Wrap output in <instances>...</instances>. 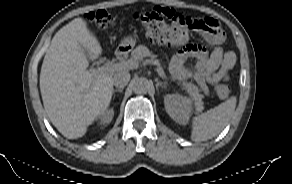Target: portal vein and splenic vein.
Masks as SVG:
<instances>
[{
  "label": "portal vein and splenic vein",
  "mask_w": 292,
  "mask_h": 184,
  "mask_svg": "<svg viewBox=\"0 0 292 184\" xmlns=\"http://www.w3.org/2000/svg\"><path fill=\"white\" fill-rule=\"evenodd\" d=\"M154 64L157 66V72L160 75V77H164L165 73L158 61H154ZM136 66L135 61L132 59H129L127 61H121L118 63H105L103 66L98 68V72H104V71H114L118 69H125V68H133Z\"/></svg>",
  "instance_id": "obj_1"
}]
</instances>
